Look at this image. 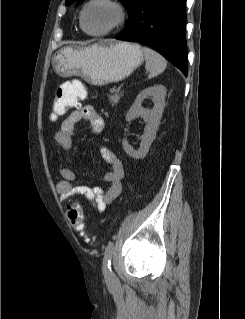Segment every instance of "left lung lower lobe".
Here are the masks:
<instances>
[{
    "label": "left lung lower lobe",
    "mask_w": 245,
    "mask_h": 319,
    "mask_svg": "<svg viewBox=\"0 0 245 319\" xmlns=\"http://www.w3.org/2000/svg\"><path fill=\"white\" fill-rule=\"evenodd\" d=\"M185 4L186 0H139L115 39L150 46L187 76Z\"/></svg>",
    "instance_id": "left-lung-lower-lobe-1"
}]
</instances>
